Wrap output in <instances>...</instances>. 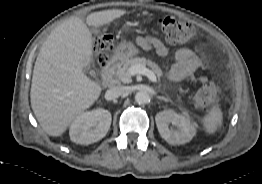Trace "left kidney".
<instances>
[{"mask_svg":"<svg viewBox=\"0 0 262 184\" xmlns=\"http://www.w3.org/2000/svg\"><path fill=\"white\" fill-rule=\"evenodd\" d=\"M155 121L161 137L171 145L187 143L196 134V128L190 119L173 110L159 112ZM170 124L177 129L169 128Z\"/></svg>","mask_w":262,"mask_h":184,"instance_id":"1","label":"left kidney"}]
</instances>
